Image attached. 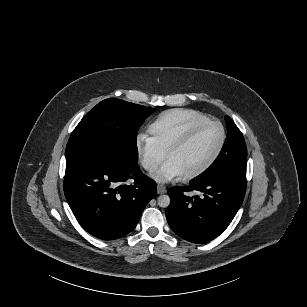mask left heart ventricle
<instances>
[{"mask_svg":"<svg viewBox=\"0 0 307 307\" xmlns=\"http://www.w3.org/2000/svg\"><path fill=\"white\" fill-rule=\"evenodd\" d=\"M222 139V127L211 125L185 148L173 153L168 161L173 163L184 176L206 164L219 148Z\"/></svg>","mask_w":307,"mask_h":307,"instance_id":"1","label":"left heart ventricle"}]
</instances>
